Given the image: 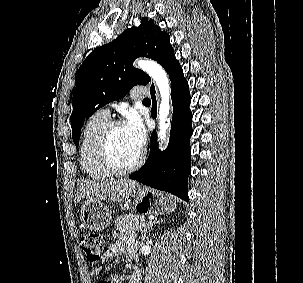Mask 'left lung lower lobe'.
Returning a JSON list of instances; mask_svg holds the SVG:
<instances>
[{
    "instance_id": "0a47b994",
    "label": "left lung lower lobe",
    "mask_w": 303,
    "mask_h": 283,
    "mask_svg": "<svg viewBox=\"0 0 303 283\" xmlns=\"http://www.w3.org/2000/svg\"><path fill=\"white\" fill-rule=\"evenodd\" d=\"M166 72L171 79L173 118L168 148L158 149L157 133L151 135V149L146 163L130 179L147 186L166 191L188 201L187 180L191 172L190 137L192 135V114L189 109L191 97L183 70L176 58L168 65ZM152 117L156 118L155 89L152 85Z\"/></svg>"
}]
</instances>
